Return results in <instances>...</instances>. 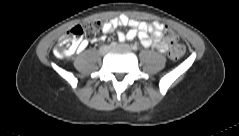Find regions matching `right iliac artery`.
Here are the masks:
<instances>
[{"label": "right iliac artery", "instance_id": "right-iliac-artery-1", "mask_svg": "<svg viewBox=\"0 0 239 136\" xmlns=\"http://www.w3.org/2000/svg\"><path fill=\"white\" fill-rule=\"evenodd\" d=\"M116 45H117L116 42H112V43L110 44L111 47H115Z\"/></svg>", "mask_w": 239, "mask_h": 136}]
</instances>
